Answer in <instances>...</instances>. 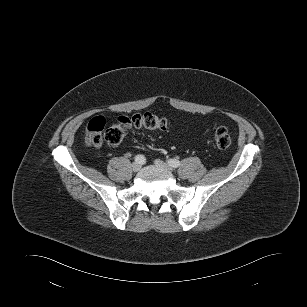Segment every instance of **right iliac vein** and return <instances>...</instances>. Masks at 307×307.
Returning a JSON list of instances; mask_svg holds the SVG:
<instances>
[{"label":"right iliac vein","instance_id":"1","mask_svg":"<svg viewBox=\"0 0 307 307\" xmlns=\"http://www.w3.org/2000/svg\"><path fill=\"white\" fill-rule=\"evenodd\" d=\"M140 169H141V164H140V163L134 162V163L132 164V170H133L134 172H138V171H140Z\"/></svg>","mask_w":307,"mask_h":307}]
</instances>
